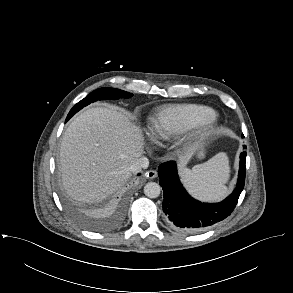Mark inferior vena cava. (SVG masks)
<instances>
[{"instance_id":"1","label":"inferior vena cava","mask_w":293,"mask_h":293,"mask_svg":"<svg viewBox=\"0 0 293 293\" xmlns=\"http://www.w3.org/2000/svg\"><path fill=\"white\" fill-rule=\"evenodd\" d=\"M149 165V160L147 157H140L137 159L131 166L130 171L132 173H139L142 171V169H146Z\"/></svg>"}]
</instances>
